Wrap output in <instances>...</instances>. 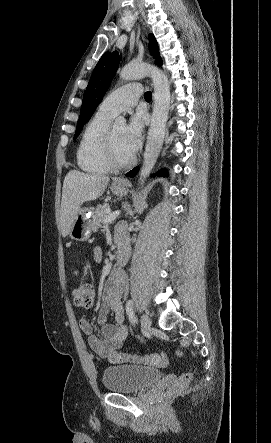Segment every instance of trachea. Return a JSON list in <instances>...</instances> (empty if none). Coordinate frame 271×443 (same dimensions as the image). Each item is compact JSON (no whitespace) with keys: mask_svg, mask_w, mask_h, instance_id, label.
Returning a JSON list of instances; mask_svg holds the SVG:
<instances>
[{"mask_svg":"<svg viewBox=\"0 0 271 443\" xmlns=\"http://www.w3.org/2000/svg\"><path fill=\"white\" fill-rule=\"evenodd\" d=\"M145 100L150 101L152 99V93L151 92H146L144 94Z\"/></svg>","mask_w":271,"mask_h":443,"instance_id":"trachea-1","label":"trachea"}]
</instances>
